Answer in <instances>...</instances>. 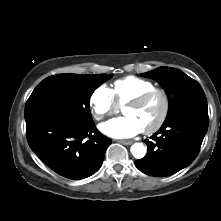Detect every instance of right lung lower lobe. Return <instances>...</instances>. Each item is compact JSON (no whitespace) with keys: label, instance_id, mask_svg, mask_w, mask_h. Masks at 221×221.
<instances>
[{"label":"right lung lower lobe","instance_id":"98d812e1","mask_svg":"<svg viewBox=\"0 0 221 221\" xmlns=\"http://www.w3.org/2000/svg\"><path fill=\"white\" fill-rule=\"evenodd\" d=\"M26 136L31 149L50 169L74 180L97 172L112 142L98 132L94 122L80 124L52 111L26 119Z\"/></svg>","mask_w":221,"mask_h":221}]
</instances>
